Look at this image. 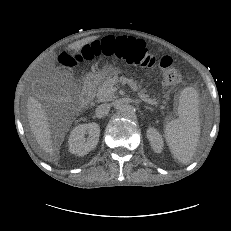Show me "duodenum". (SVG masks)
<instances>
[{
  "label": "duodenum",
  "mask_w": 231,
  "mask_h": 231,
  "mask_svg": "<svg viewBox=\"0 0 231 231\" xmlns=\"http://www.w3.org/2000/svg\"><path fill=\"white\" fill-rule=\"evenodd\" d=\"M96 83L97 78L95 76H90L85 80L84 91L80 98L82 106H87L91 102Z\"/></svg>",
  "instance_id": "duodenum-1"
}]
</instances>
